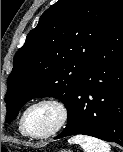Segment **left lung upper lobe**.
I'll return each instance as SVG.
<instances>
[{"label": "left lung upper lobe", "instance_id": "left-lung-upper-lobe-1", "mask_svg": "<svg viewBox=\"0 0 123 152\" xmlns=\"http://www.w3.org/2000/svg\"><path fill=\"white\" fill-rule=\"evenodd\" d=\"M121 4V0H59L42 14L14 57L5 96L8 123L35 97H55L68 106L87 60Z\"/></svg>", "mask_w": 123, "mask_h": 152}]
</instances>
